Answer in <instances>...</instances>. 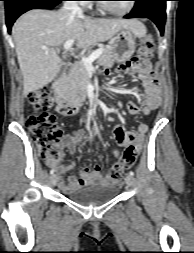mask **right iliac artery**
Segmentation results:
<instances>
[{
	"instance_id": "right-iliac-artery-1",
	"label": "right iliac artery",
	"mask_w": 194,
	"mask_h": 253,
	"mask_svg": "<svg viewBox=\"0 0 194 253\" xmlns=\"http://www.w3.org/2000/svg\"><path fill=\"white\" fill-rule=\"evenodd\" d=\"M54 172H55V169H52V170L50 171V174L53 175Z\"/></svg>"
}]
</instances>
